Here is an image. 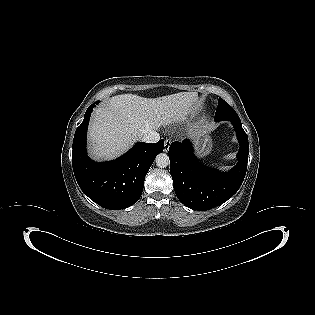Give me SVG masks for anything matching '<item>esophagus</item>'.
Masks as SVG:
<instances>
[{
    "label": "esophagus",
    "instance_id": "esophagus-1",
    "mask_svg": "<svg viewBox=\"0 0 315 315\" xmlns=\"http://www.w3.org/2000/svg\"><path fill=\"white\" fill-rule=\"evenodd\" d=\"M170 145H171V140L170 139H166L165 142H164V151L165 152H168V150L170 148Z\"/></svg>",
    "mask_w": 315,
    "mask_h": 315
}]
</instances>
